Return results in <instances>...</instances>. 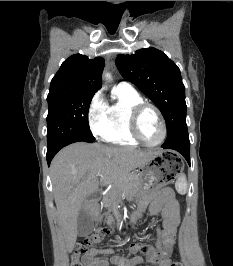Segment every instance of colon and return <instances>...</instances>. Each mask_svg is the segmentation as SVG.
Returning <instances> with one entry per match:
<instances>
[{
    "label": "colon",
    "instance_id": "obj_1",
    "mask_svg": "<svg viewBox=\"0 0 233 266\" xmlns=\"http://www.w3.org/2000/svg\"><path fill=\"white\" fill-rule=\"evenodd\" d=\"M111 230L104 229V230H97L92 235L86 237L82 241L77 244L76 252L72 258V266H82L81 262L79 261V256L81 254H86L89 252L90 248L95 244L100 242L105 235L109 234ZM171 250L169 251V254ZM170 266H182L180 262H173Z\"/></svg>",
    "mask_w": 233,
    "mask_h": 266
}]
</instances>
